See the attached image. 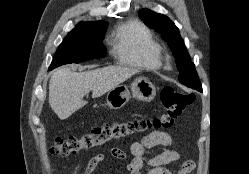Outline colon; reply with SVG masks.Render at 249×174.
<instances>
[{
    "label": "colon",
    "mask_w": 249,
    "mask_h": 174,
    "mask_svg": "<svg viewBox=\"0 0 249 174\" xmlns=\"http://www.w3.org/2000/svg\"><path fill=\"white\" fill-rule=\"evenodd\" d=\"M160 99L164 113L159 117L104 123L79 136H71L67 139L57 138L51 147V152L56 156L73 155L112 142L126 140L151 129L169 128L193 103L195 96L173 87H165L160 93Z\"/></svg>",
    "instance_id": "1"
}]
</instances>
